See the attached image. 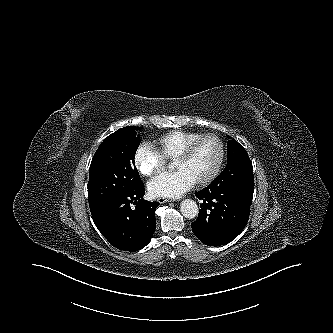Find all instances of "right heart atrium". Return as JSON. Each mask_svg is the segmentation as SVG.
<instances>
[{
    "mask_svg": "<svg viewBox=\"0 0 333 333\" xmlns=\"http://www.w3.org/2000/svg\"><path fill=\"white\" fill-rule=\"evenodd\" d=\"M133 163L144 177H152L165 167V159L160 157L150 146H139L133 156Z\"/></svg>",
    "mask_w": 333,
    "mask_h": 333,
    "instance_id": "right-heart-atrium-1",
    "label": "right heart atrium"
}]
</instances>
